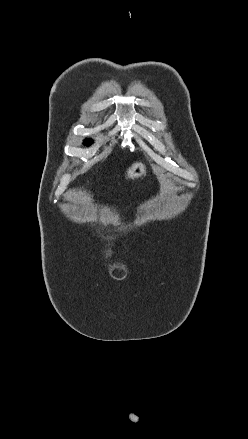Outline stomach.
<instances>
[{"instance_id":"stomach-1","label":"stomach","mask_w":248,"mask_h":439,"mask_svg":"<svg viewBox=\"0 0 248 439\" xmlns=\"http://www.w3.org/2000/svg\"><path fill=\"white\" fill-rule=\"evenodd\" d=\"M146 173H147V169L145 164L136 161L131 165V167L128 168L126 172V178L134 180L136 178L145 176Z\"/></svg>"}]
</instances>
